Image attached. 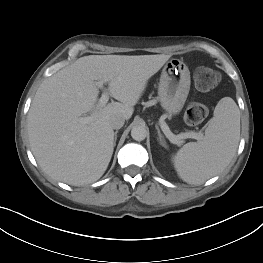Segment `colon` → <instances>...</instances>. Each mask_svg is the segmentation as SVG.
Wrapping results in <instances>:
<instances>
[{
    "label": "colon",
    "mask_w": 263,
    "mask_h": 263,
    "mask_svg": "<svg viewBox=\"0 0 263 263\" xmlns=\"http://www.w3.org/2000/svg\"><path fill=\"white\" fill-rule=\"evenodd\" d=\"M220 80L217 71L207 68L199 67L194 73V82L196 87L201 91H209L213 89ZM208 109L204 104L191 103L185 110V121L189 125H198L206 118Z\"/></svg>",
    "instance_id": "colon-1"
}]
</instances>
